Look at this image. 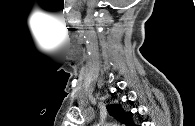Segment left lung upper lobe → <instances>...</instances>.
<instances>
[{"label":"left lung upper lobe","instance_id":"5c2ea615","mask_svg":"<svg viewBox=\"0 0 195 126\" xmlns=\"http://www.w3.org/2000/svg\"><path fill=\"white\" fill-rule=\"evenodd\" d=\"M107 110L111 116L116 118L118 121L124 123L127 126H134V122L132 121V113L124 112L119 105H110L107 106Z\"/></svg>","mask_w":195,"mask_h":126}]
</instances>
